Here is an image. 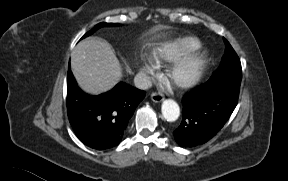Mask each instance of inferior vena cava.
<instances>
[{"label": "inferior vena cava", "instance_id": "inferior-vena-cava-1", "mask_svg": "<svg viewBox=\"0 0 288 181\" xmlns=\"http://www.w3.org/2000/svg\"><path fill=\"white\" fill-rule=\"evenodd\" d=\"M134 84L138 89L142 90H147L152 86L151 78L144 73H139L135 76Z\"/></svg>", "mask_w": 288, "mask_h": 181}]
</instances>
